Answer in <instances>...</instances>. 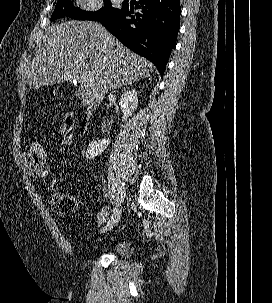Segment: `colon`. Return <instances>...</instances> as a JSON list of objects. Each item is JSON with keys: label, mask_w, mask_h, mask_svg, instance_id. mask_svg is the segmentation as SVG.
<instances>
[{"label": "colon", "mask_w": 272, "mask_h": 303, "mask_svg": "<svg viewBox=\"0 0 272 303\" xmlns=\"http://www.w3.org/2000/svg\"><path fill=\"white\" fill-rule=\"evenodd\" d=\"M61 133L63 136V144H69L73 134V125L71 118L66 116L61 125ZM31 159L32 165L35 171L44 174L49 171V165L47 160V150L44 144L35 140L31 143ZM50 205L52 210L60 216H69L77 212L78 203L77 200L71 195L64 193H54L50 196Z\"/></svg>", "instance_id": "1"}]
</instances>
